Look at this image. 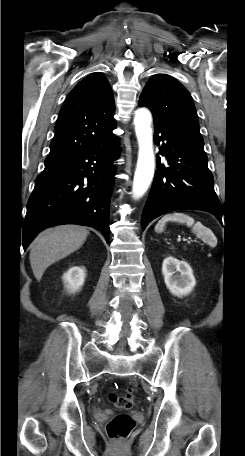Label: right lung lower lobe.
<instances>
[{
    "instance_id": "98d812e1",
    "label": "right lung lower lobe",
    "mask_w": 245,
    "mask_h": 456,
    "mask_svg": "<svg viewBox=\"0 0 245 456\" xmlns=\"http://www.w3.org/2000/svg\"><path fill=\"white\" fill-rule=\"evenodd\" d=\"M117 139L111 133L80 154L45 166L28 200L23 227L26 250L36 234L57 224H80L110 238V197L118 156Z\"/></svg>"
}]
</instances>
